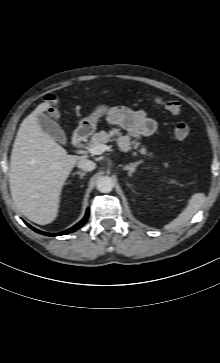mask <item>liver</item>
Segmentation results:
<instances>
[{"instance_id": "1", "label": "liver", "mask_w": 220, "mask_h": 363, "mask_svg": "<svg viewBox=\"0 0 220 363\" xmlns=\"http://www.w3.org/2000/svg\"><path fill=\"white\" fill-rule=\"evenodd\" d=\"M51 104L43 102L21 123L10 157L9 185L18 211L30 221L46 225L57 215L62 188L77 162L40 127L37 116Z\"/></svg>"}]
</instances>
